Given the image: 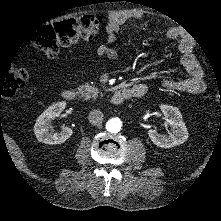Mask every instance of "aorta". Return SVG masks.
Here are the masks:
<instances>
[{"mask_svg":"<svg viewBox=\"0 0 221 221\" xmlns=\"http://www.w3.org/2000/svg\"><path fill=\"white\" fill-rule=\"evenodd\" d=\"M122 128V121L119 118H111L106 122V130L110 133H118Z\"/></svg>","mask_w":221,"mask_h":221,"instance_id":"762f6f07","label":"aorta"}]
</instances>
